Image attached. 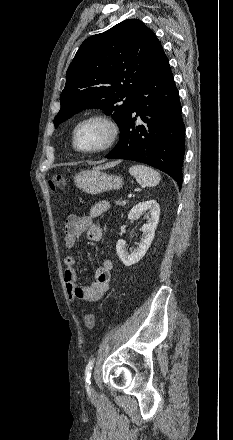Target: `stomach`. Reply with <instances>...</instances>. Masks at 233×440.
Here are the masks:
<instances>
[{"label":"stomach","instance_id":"stomach-1","mask_svg":"<svg viewBox=\"0 0 233 440\" xmlns=\"http://www.w3.org/2000/svg\"><path fill=\"white\" fill-rule=\"evenodd\" d=\"M74 182L80 190L91 195L118 190L124 184L121 177L109 175L98 168L81 171L75 175Z\"/></svg>","mask_w":233,"mask_h":440}]
</instances>
